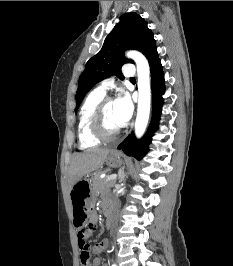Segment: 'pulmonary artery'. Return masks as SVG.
Instances as JSON below:
<instances>
[{
  "mask_svg": "<svg viewBox=\"0 0 233 266\" xmlns=\"http://www.w3.org/2000/svg\"><path fill=\"white\" fill-rule=\"evenodd\" d=\"M135 74V70H134V66L131 64L126 65L123 68V75L125 77H133ZM114 84V78H107L105 80H103L100 85L96 88L99 91H101L102 93H106L111 86H113Z\"/></svg>",
  "mask_w": 233,
  "mask_h": 266,
  "instance_id": "e3ab8cb5",
  "label": "pulmonary artery"
}]
</instances>
